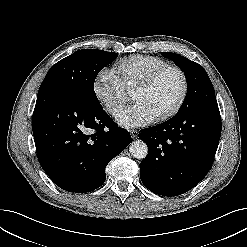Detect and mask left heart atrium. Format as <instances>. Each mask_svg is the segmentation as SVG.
<instances>
[{
	"label": "left heart atrium",
	"instance_id": "1",
	"mask_svg": "<svg viewBox=\"0 0 247 247\" xmlns=\"http://www.w3.org/2000/svg\"><path fill=\"white\" fill-rule=\"evenodd\" d=\"M156 116L143 103L137 102L133 106L119 110L115 119L119 125L132 128L154 121Z\"/></svg>",
	"mask_w": 247,
	"mask_h": 247
}]
</instances>
